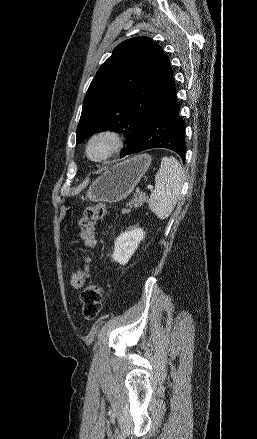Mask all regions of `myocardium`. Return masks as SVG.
Returning <instances> with one entry per match:
<instances>
[{
    "label": "myocardium",
    "instance_id": "f54148a6",
    "mask_svg": "<svg viewBox=\"0 0 257 439\" xmlns=\"http://www.w3.org/2000/svg\"><path fill=\"white\" fill-rule=\"evenodd\" d=\"M107 139L110 141V149L101 157L95 158L91 155V146L98 140ZM124 147V137L122 133L113 128L101 129L90 136L85 146V155L93 163L101 164L109 161L116 156Z\"/></svg>",
    "mask_w": 257,
    "mask_h": 439
}]
</instances>
